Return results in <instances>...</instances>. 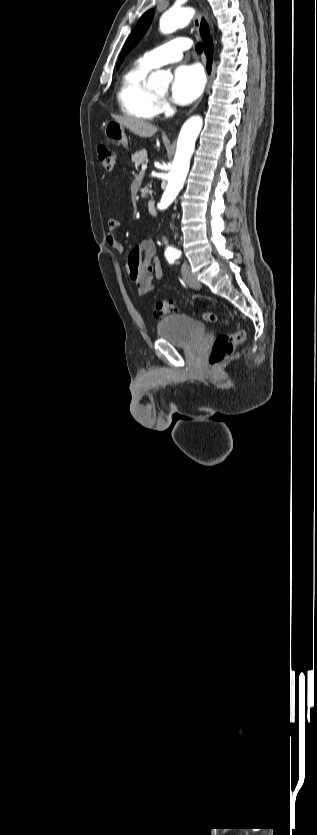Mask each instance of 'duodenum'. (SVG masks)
Instances as JSON below:
<instances>
[{"instance_id":"duodenum-1","label":"duodenum","mask_w":317,"mask_h":835,"mask_svg":"<svg viewBox=\"0 0 317 835\" xmlns=\"http://www.w3.org/2000/svg\"><path fill=\"white\" fill-rule=\"evenodd\" d=\"M147 210L150 214H155L156 213V202L154 200L148 201Z\"/></svg>"}]
</instances>
